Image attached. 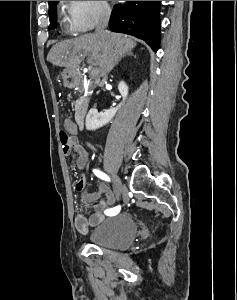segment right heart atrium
I'll return each instance as SVG.
<instances>
[{
    "instance_id": "obj_1",
    "label": "right heart atrium",
    "mask_w": 237,
    "mask_h": 300,
    "mask_svg": "<svg viewBox=\"0 0 237 300\" xmlns=\"http://www.w3.org/2000/svg\"><path fill=\"white\" fill-rule=\"evenodd\" d=\"M68 29L83 34L106 24L112 11L107 1H63Z\"/></svg>"
}]
</instances>
